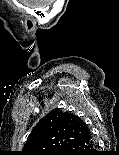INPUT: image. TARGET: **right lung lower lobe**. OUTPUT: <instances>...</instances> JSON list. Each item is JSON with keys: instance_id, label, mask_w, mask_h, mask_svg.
Masks as SVG:
<instances>
[{"instance_id": "1", "label": "right lung lower lobe", "mask_w": 119, "mask_h": 155, "mask_svg": "<svg viewBox=\"0 0 119 155\" xmlns=\"http://www.w3.org/2000/svg\"><path fill=\"white\" fill-rule=\"evenodd\" d=\"M96 145L88 130L82 137L72 142L60 155H96Z\"/></svg>"}]
</instances>
